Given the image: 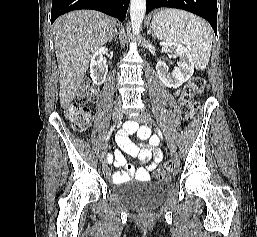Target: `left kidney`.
Listing matches in <instances>:
<instances>
[{"label":"left kidney","mask_w":257,"mask_h":237,"mask_svg":"<svg viewBox=\"0 0 257 237\" xmlns=\"http://www.w3.org/2000/svg\"><path fill=\"white\" fill-rule=\"evenodd\" d=\"M166 53H171L174 57H178V67L172 72L165 62L159 61L156 64V71L161 82L169 88H178L186 82L194 73V65L192 63L189 51L179 43L160 42Z\"/></svg>","instance_id":"1"}]
</instances>
